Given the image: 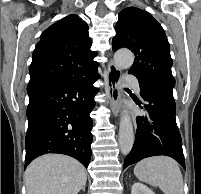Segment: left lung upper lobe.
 <instances>
[{
  "instance_id": "5c2ea615",
  "label": "left lung upper lobe",
  "mask_w": 201,
  "mask_h": 194,
  "mask_svg": "<svg viewBox=\"0 0 201 194\" xmlns=\"http://www.w3.org/2000/svg\"><path fill=\"white\" fill-rule=\"evenodd\" d=\"M115 29L112 49L125 47L134 53L135 60L129 73L137 77L140 86H162L173 90V61L162 26L148 12L128 7L119 13Z\"/></svg>"
}]
</instances>
